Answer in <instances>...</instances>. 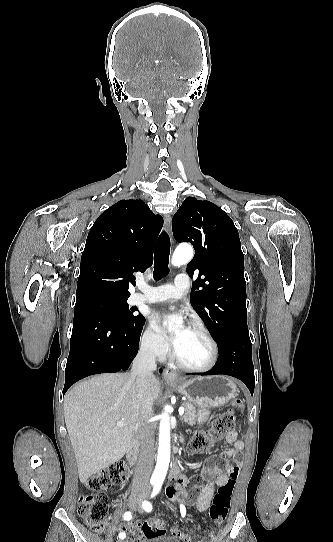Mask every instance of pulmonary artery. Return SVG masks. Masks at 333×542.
I'll return each mask as SVG.
<instances>
[{
  "instance_id": "pulmonary-artery-1",
  "label": "pulmonary artery",
  "mask_w": 333,
  "mask_h": 542,
  "mask_svg": "<svg viewBox=\"0 0 333 542\" xmlns=\"http://www.w3.org/2000/svg\"><path fill=\"white\" fill-rule=\"evenodd\" d=\"M187 279L186 274L177 273L174 276L176 289L174 285H171L172 283L154 285L153 287L146 285L144 292L146 293L147 301L150 303H171L182 299L188 293L189 285ZM135 291H141V289H136Z\"/></svg>"
}]
</instances>
